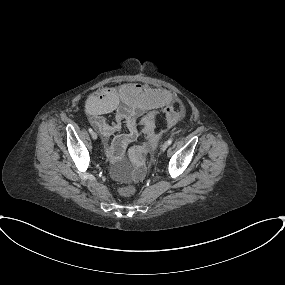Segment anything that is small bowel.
Wrapping results in <instances>:
<instances>
[{
  "label": "small bowel",
  "instance_id": "obj_1",
  "mask_svg": "<svg viewBox=\"0 0 285 285\" xmlns=\"http://www.w3.org/2000/svg\"><path fill=\"white\" fill-rule=\"evenodd\" d=\"M175 103H178L177 108ZM86 110L90 123L100 133L107 157L114 166L124 158L126 147L137 141L138 118L150 111L161 110L168 125L172 126L185 113L183 105L166 91L132 83L118 88L105 87L94 92L87 101ZM110 114L113 115V121L109 123L105 116ZM174 114L177 119L171 123ZM123 124L126 125L127 132L115 135ZM139 152L141 148L136 150V153ZM132 158L136 160L135 153Z\"/></svg>",
  "mask_w": 285,
  "mask_h": 285
}]
</instances>
